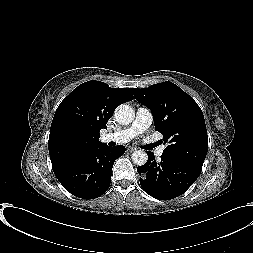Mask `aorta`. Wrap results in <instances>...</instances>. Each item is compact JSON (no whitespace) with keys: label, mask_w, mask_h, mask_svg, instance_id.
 <instances>
[{"label":"aorta","mask_w":253,"mask_h":253,"mask_svg":"<svg viewBox=\"0 0 253 253\" xmlns=\"http://www.w3.org/2000/svg\"><path fill=\"white\" fill-rule=\"evenodd\" d=\"M114 116L119 124L128 125L134 120L135 112L131 106L122 104L116 108ZM132 160L135 164L142 166L147 162L148 156L145 151L136 150L132 154Z\"/></svg>","instance_id":"obj_1"}]
</instances>
